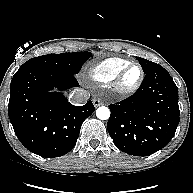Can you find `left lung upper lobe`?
Masks as SVG:
<instances>
[{
	"label": "left lung upper lobe",
	"instance_id": "1",
	"mask_svg": "<svg viewBox=\"0 0 193 193\" xmlns=\"http://www.w3.org/2000/svg\"><path fill=\"white\" fill-rule=\"evenodd\" d=\"M137 60L139 61L140 65L142 66V69L144 71V74L150 72L154 68L158 66V64L151 62L149 60H146L144 58L137 57Z\"/></svg>",
	"mask_w": 193,
	"mask_h": 193
}]
</instances>
